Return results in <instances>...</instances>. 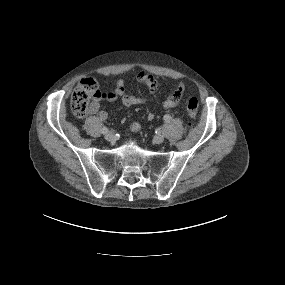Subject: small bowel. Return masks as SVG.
I'll list each match as a JSON object with an SVG mask.
<instances>
[{
    "label": "small bowel",
    "mask_w": 285,
    "mask_h": 285,
    "mask_svg": "<svg viewBox=\"0 0 285 285\" xmlns=\"http://www.w3.org/2000/svg\"><path fill=\"white\" fill-rule=\"evenodd\" d=\"M138 81L143 86H145L151 93L157 92L159 85L156 79L147 73H140L138 76ZM185 92V84L183 82L178 83L175 87L170 88L168 91V96L163 102V108L168 110L180 106L182 101V96ZM114 102L120 100L122 105L125 107H130L132 105L142 104L146 102L145 97L137 96L135 94L129 93L126 90L125 80L119 79L113 90L107 93L100 92L97 97H95L90 105L89 113L95 116L100 121H105L107 119V113L101 110V101ZM155 118L154 112L147 113V119L152 121ZM132 131H139L141 129V124L134 122L130 125Z\"/></svg>",
    "instance_id": "c3829d8e"
}]
</instances>
